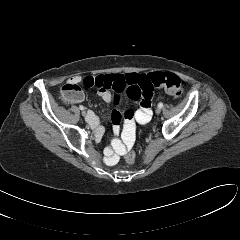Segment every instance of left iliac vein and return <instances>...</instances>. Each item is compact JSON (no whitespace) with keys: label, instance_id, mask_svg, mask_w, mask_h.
<instances>
[{"label":"left iliac vein","instance_id":"left-iliac-vein-1","mask_svg":"<svg viewBox=\"0 0 240 240\" xmlns=\"http://www.w3.org/2000/svg\"><path fill=\"white\" fill-rule=\"evenodd\" d=\"M155 113H156V114H160V113H161V108H157V109L155 110Z\"/></svg>","mask_w":240,"mask_h":240}]
</instances>
